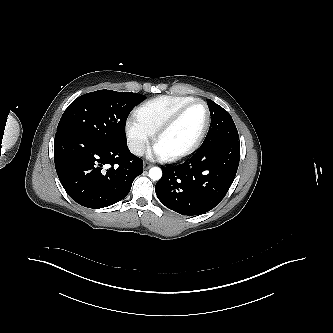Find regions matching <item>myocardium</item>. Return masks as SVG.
<instances>
[{"label": "myocardium", "instance_id": "obj_1", "mask_svg": "<svg viewBox=\"0 0 333 333\" xmlns=\"http://www.w3.org/2000/svg\"><path fill=\"white\" fill-rule=\"evenodd\" d=\"M202 104L204 105L205 109H206V121L205 124L201 130V132L199 133L198 137L195 139V141L186 149H184L183 151L174 153V154H170V155H162L164 160L169 161V162H173V161H178L181 160L185 157L190 156L191 154H193L202 144V142L204 141L208 130L210 128V124H211V110L210 107L208 106V104L206 103V101L202 100V99H193L190 102L182 105L181 107H179L155 132L154 134V147L156 148L157 143L159 142V140L161 139V137L168 132L177 122L178 120L181 118V116L186 112V110H188L191 106H193L194 104Z\"/></svg>", "mask_w": 333, "mask_h": 333}]
</instances>
